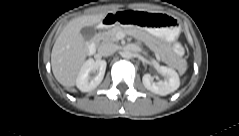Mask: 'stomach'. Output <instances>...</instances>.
Returning <instances> with one entry per match:
<instances>
[{"instance_id":"0dacf381","label":"stomach","mask_w":239,"mask_h":136,"mask_svg":"<svg viewBox=\"0 0 239 136\" xmlns=\"http://www.w3.org/2000/svg\"><path fill=\"white\" fill-rule=\"evenodd\" d=\"M117 23L144 27L146 32L166 43L174 42L180 32L176 20L166 14L118 11Z\"/></svg>"}]
</instances>
